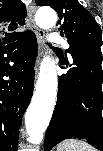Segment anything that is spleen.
Returning a JSON list of instances; mask_svg holds the SVG:
<instances>
[{"mask_svg":"<svg viewBox=\"0 0 103 151\" xmlns=\"http://www.w3.org/2000/svg\"><path fill=\"white\" fill-rule=\"evenodd\" d=\"M57 151H96V149L82 140L70 139L61 142Z\"/></svg>","mask_w":103,"mask_h":151,"instance_id":"3e777b00","label":"spleen"}]
</instances>
